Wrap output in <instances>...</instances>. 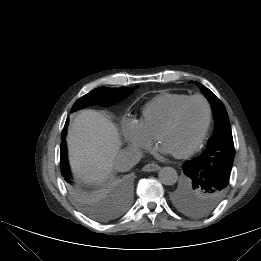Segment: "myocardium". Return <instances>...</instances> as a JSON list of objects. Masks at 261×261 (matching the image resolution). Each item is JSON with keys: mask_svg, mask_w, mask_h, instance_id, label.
Wrapping results in <instances>:
<instances>
[{"mask_svg": "<svg viewBox=\"0 0 261 261\" xmlns=\"http://www.w3.org/2000/svg\"><path fill=\"white\" fill-rule=\"evenodd\" d=\"M194 100H200L204 103L205 107H206V121H205V125L203 127L202 132L200 133V135L198 136V138L195 140V142L190 145L188 148L180 151V152H176L173 153L174 156L178 157V158H186L190 155H192L194 152H196L199 147L202 145V143L204 142L207 133L209 131L210 128V124H211V120H212V108L211 105L209 103V101L202 95H192L189 96L188 98H186L185 100H183L181 103H179L176 108L173 110V112L171 113V115L169 116V118L166 120V122L161 126V128L159 129V131L157 132L156 135V140L158 142H160L161 136L167 131L169 130L171 127L174 126V124L176 123L181 111L183 110V108L191 101Z\"/></svg>", "mask_w": 261, "mask_h": 261, "instance_id": "f54148a6", "label": "myocardium"}]
</instances>
